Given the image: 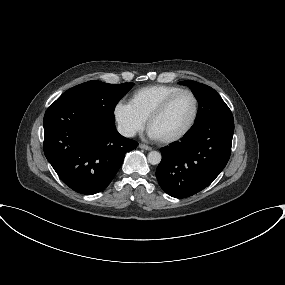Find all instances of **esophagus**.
Wrapping results in <instances>:
<instances>
[{"label":"esophagus","mask_w":285,"mask_h":285,"mask_svg":"<svg viewBox=\"0 0 285 285\" xmlns=\"http://www.w3.org/2000/svg\"><path fill=\"white\" fill-rule=\"evenodd\" d=\"M139 148L147 150V151H151L152 150V148L150 146L142 144V143L139 144Z\"/></svg>","instance_id":"1"}]
</instances>
